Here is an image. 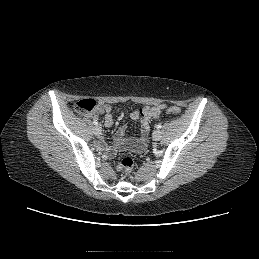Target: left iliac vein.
<instances>
[{
  "mask_svg": "<svg viewBox=\"0 0 259 259\" xmlns=\"http://www.w3.org/2000/svg\"><path fill=\"white\" fill-rule=\"evenodd\" d=\"M152 138L154 141H159L161 138V132L159 130H155L152 134Z\"/></svg>",
  "mask_w": 259,
  "mask_h": 259,
  "instance_id": "left-iliac-vein-1",
  "label": "left iliac vein"
}]
</instances>
